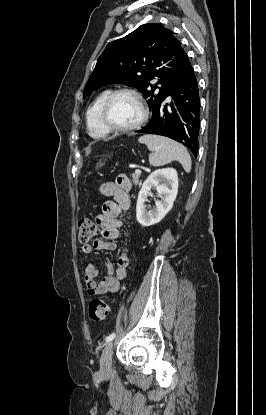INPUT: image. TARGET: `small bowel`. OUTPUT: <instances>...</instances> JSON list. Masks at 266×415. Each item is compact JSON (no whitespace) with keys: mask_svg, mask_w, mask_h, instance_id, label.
Here are the masks:
<instances>
[{"mask_svg":"<svg viewBox=\"0 0 266 415\" xmlns=\"http://www.w3.org/2000/svg\"><path fill=\"white\" fill-rule=\"evenodd\" d=\"M132 184L126 175H118L114 182H106L100 185L99 192L107 197H112L103 204L102 214L96 217L98 226L101 228L102 238L96 239L91 244H85L82 248L85 254H90L94 250H110L117 248L115 240L121 234L123 222L120 215L130 207V196ZM129 257L126 252L119 254L116 267L106 259V275L101 281H97L98 269L96 265L87 261L84 265L83 275L86 289L89 295L105 294L116 292L119 289L120 281L126 276V267Z\"/></svg>","mask_w":266,"mask_h":415,"instance_id":"small-bowel-1","label":"small bowel"}]
</instances>
